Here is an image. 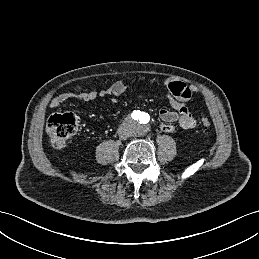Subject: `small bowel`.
<instances>
[{
	"mask_svg": "<svg viewBox=\"0 0 259 259\" xmlns=\"http://www.w3.org/2000/svg\"><path fill=\"white\" fill-rule=\"evenodd\" d=\"M163 85L169 90L172 97H169L172 110L161 109L159 118L161 120V130L165 133H171L175 130V123L183 129H192L197 125V120L191 115L187 108V102L193 93L198 92L194 86H188L178 80H165ZM127 89V86L122 81H116L108 88L97 91H83L80 88L74 89L71 92L61 93L55 96L50 105L54 108L63 105L69 100H76L84 103L92 102L98 97L120 96Z\"/></svg>",
	"mask_w": 259,
	"mask_h": 259,
	"instance_id": "small-bowel-1",
	"label": "small bowel"
}]
</instances>
